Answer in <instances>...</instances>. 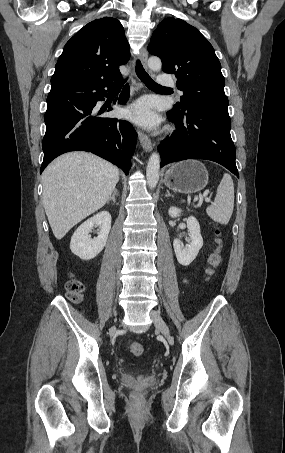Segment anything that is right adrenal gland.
I'll return each mask as SVG.
<instances>
[{
	"label": "right adrenal gland",
	"mask_w": 285,
	"mask_h": 453,
	"mask_svg": "<svg viewBox=\"0 0 285 453\" xmlns=\"http://www.w3.org/2000/svg\"><path fill=\"white\" fill-rule=\"evenodd\" d=\"M118 195H119V193H118L117 189H114L112 196L107 201V204L110 203V201H113L115 203L116 202L115 197Z\"/></svg>",
	"instance_id": "1"
}]
</instances>
